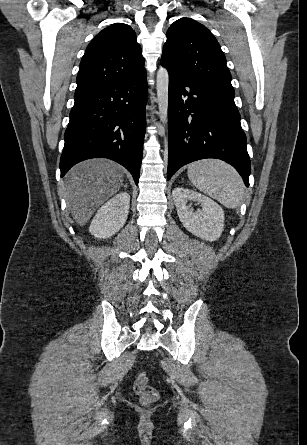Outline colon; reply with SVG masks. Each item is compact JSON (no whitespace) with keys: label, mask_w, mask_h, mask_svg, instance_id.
I'll list each match as a JSON object with an SVG mask.
<instances>
[{"label":"colon","mask_w":307,"mask_h":445,"mask_svg":"<svg viewBox=\"0 0 307 445\" xmlns=\"http://www.w3.org/2000/svg\"><path fill=\"white\" fill-rule=\"evenodd\" d=\"M133 387L144 405H150L158 399V392L149 384L146 373H140L136 377Z\"/></svg>","instance_id":"1"}]
</instances>
